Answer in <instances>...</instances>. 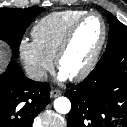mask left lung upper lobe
I'll use <instances>...</instances> for the list:
<instances>
[{"mask_svg":"<svg viewBox=\"0 0 127 127\" xmlns=\"http://www.w3.org/2000/svg\"><path fill=\"white\" fill-rule=\"evenodd\" d=\"M108 20L110 23L108 45L104 55L109 54L113 49L127 45V26L117 20L110 12H108Z\"/></svg>","mask_w":127,"mask_h":127,"instance_id":"1","label":"left lung upper lobe"}]
</instances>
